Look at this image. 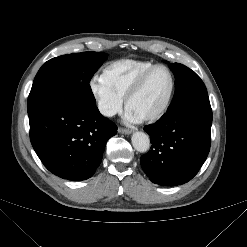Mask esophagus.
Here are the masks:
<instances>
[{"mask_svg": "<svg viewBox=\"0 0 247 247\" xmlns=\"http://www.w3.org/2000/svg\"><path fill=\"white\" fill-rule=\"evenodd\" d=\"M134 131V129H129V128H119L118 132L121 134H130Z\"/></svg>", "mask_w": 247, "mask_h": 247, "instance_id": "esophagus-1", "label": "esophagus"}]
</instances>
